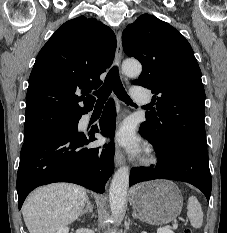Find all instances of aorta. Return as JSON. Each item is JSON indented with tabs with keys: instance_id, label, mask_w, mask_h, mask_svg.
Wrapping results in <instances>:
<instances>
[{
	"instance_id": "obj_1",
	"label": "aorta",
	"mask_w": 227,
	"mask_h": 233,
	"mask_svg": "<svg viewBox=\"0 0 227 233\" xmlns=\"http://www.w3.org/2000/svg\"><path fill=\"white\" fill-rule=\"evenodd\" d=\"M122 70L128 77H137L142 71V66L138 61L127 60L123 62ZM129 173L128 167H120L111 181L109 201L110 209L114 216H120L123 212L129 186Z\"/></svg>"
}]
</instances>
